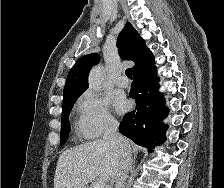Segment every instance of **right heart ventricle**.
Returning a JSON list of instances; mask_svg holds the SVG:
<instances>
[{"label": "right heart ventricle", "mask_w": 224, "mask_h": 188, "mask_svg": "<svg viewBox=\"0 0 224 188\" xmlns=\"http://www.w3.org/2000/svg\"><path fill=\"white\" fill-rule=\"evenodd\" d=\"M81 132H82V130H81V128H80V125H79V128H78Z\"/></svg>", "instance_id": "right-heart-ventricle-1"}]
</instances>
